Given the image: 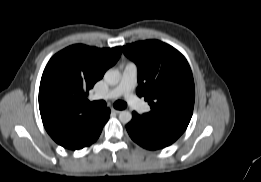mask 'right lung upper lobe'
Listing matches in <instances>:
<instances>
[{
  "label": "right lung upper lobe",
  "instance_id": "obj_1",
  "mask_svg": "<svg viewBox=\"0 0 261 182\" xmlns=\"http://www.w3.org/2000/svg\"><path fill=\"white\" fill-rule=\"evenodd\" d=\"M121 55V47L69 46L45 67L39 88V109L44 127L61 146L70 144L80 126L96 112L86 105V94Z\"/></svg>",
  "mask_w": 261,
  "mask_h": 182
}]
</instances>
